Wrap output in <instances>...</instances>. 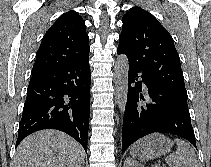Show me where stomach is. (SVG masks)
Masks as SVG:
<instances>
[{"mask_svg": "<svg viewBox=\"0 0 211 167\" xmlns=\"http://www.w3.org/2000/svg\"><path fill=\"white\" fill-rule=\"evenodd\" d=\"M173 141L163 134H152L147 136L131 147V155L139 160L147 161L169 153Z\"/></svg>", "mask_w": 211, "mask_h": 167, "instance_id": "1", "label": "stomach"}]
</instances>
